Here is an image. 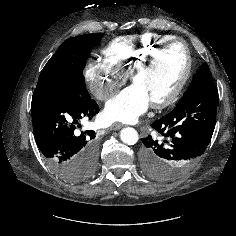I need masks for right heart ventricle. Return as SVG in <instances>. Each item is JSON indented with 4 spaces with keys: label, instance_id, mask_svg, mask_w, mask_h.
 Returning <instances> with one entry per match:
<instances>
[{
    "label": "right heart ventricle",
    "instance_id": "obj_1",
    "mask_svg": "<svg viewBox=\"0 0 236 236\" xmlns=\"http://www.w3.org/2000/svg\"><path fill=\"white\" fill-rule=\"evenodd\" d=\"M172 38L175 37L160 33L122 36L108 43L103 53L113 67L127 76L157 46Z\"/></svg>",
    "mask_w": 236,
    "mask_h": 236
}]
</instances>
